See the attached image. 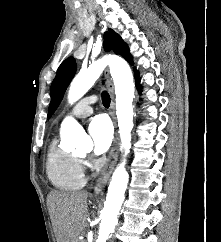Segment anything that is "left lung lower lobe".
I'll return each mask as SVG.
<instances>
[{"label": "left lung lower lobe", "mask_w": 221, "mask_h": 242, "mask_svg": "<svg viewBox=\"0 0 221 242\" xmlns=\"http://www.w3.org/2000/svg\"><path fill=\"white\" fill-rule=\"evenodd\" d=\"M135 77H136V86H137V88H138V90L140 91V83H139V79H138V72L135 70Z\"/></svg>", "instance_id": "left-lung-lower-lobe-1"}]
</instances>
